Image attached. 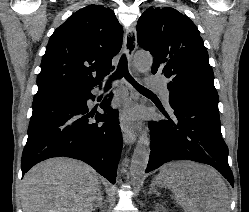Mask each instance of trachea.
Returning a JSON list of instances; mask_svg holds the SVG:
<instances>
[{
    "instance_id": "1",
    "label": "trachea",
    "mask_w": 249,
    "mask_h": 212,
    "mask_svg": "<svg viewBox=\"0 0 249 212\" xmlns=\"http://www.w3.org/2000/svg\"><path fill=\"white\" fill-rule=\"evenodd\" d=\"M125 77L137 90H148L145 87H142L139 85L129 74L128 67H127V59L125 54L121 57L117 70L112 74V76L109 78V80L106 82L105 86H111V83L115 79H120L122 77Z\"/></svg>"
}]
</instances>
